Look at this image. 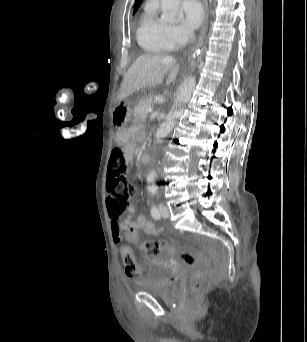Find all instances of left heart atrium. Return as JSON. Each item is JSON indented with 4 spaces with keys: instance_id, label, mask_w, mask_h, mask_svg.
I'll list each match as a JSON object with an SVG mask.
<instances>
[{
    "instance_id": "39dd6f15",
    "label": "left heart atrium",
    "mask_w": 307,
    "mask_h": 342,
    "mask_svg": "<svg viewBox=\"0 0 307 342\" xmlns=\"http://www.w3.org/2000/svg\"><path fill=\"white\" fill-rule=\"evenodd\" d=\"M203 19V7L197 1L186 2L182 6L180 25L183 42L187 43L192 39V35L200 27Z\"/></svg>"
}]
</instances>
